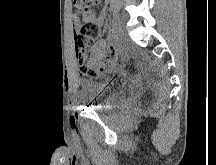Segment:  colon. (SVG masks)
<instances>
[{
	"instance_id": "colon-1",
	"label": "colon",
	"mask_w": 216,
	"mask_h": 165,
	"mask_svg": "<svg viewBox=\"0 0 216 165\" xmlns=\"http://www.w3.org/2000/svg\"><path fill=\"white\" fill-rule=\"evenodd\" d=\"M100 3L101 0H73L77 11L83 14L88 13L92 7ZM98 35L99 26L90 21H86L75 35L78 71L88 78H95L101 72L109 69L113 59V55L108 52L97 53L94 50Z\"/></svg>"
}]
</instances>
